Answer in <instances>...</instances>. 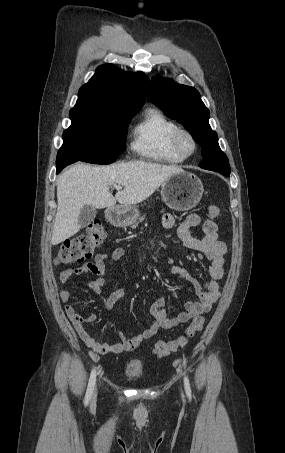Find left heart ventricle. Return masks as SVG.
<instances>
[{
	"instance_id": "1",
	"label": "left heart ventricle",
	"mask_w": 285,
	"mask_h": 453,
	"mask_svg": "<svg viewBox=\"0 0 285 453\" xmlns=\"http://www.w3.org/2000/svg\"><path fill=\"white\" fill-rule=\"evenodd\" d=\"M183 147L186 149V150H190L191 149V143L188 139H183Z\"/></svg>"
}]
</instances>
